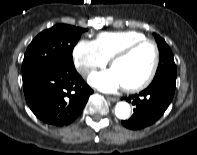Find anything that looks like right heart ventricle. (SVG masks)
Listing matches in <instances>:
<instances>
[{"label":"right heart ventricle","mask_w":197,"mask_h":155,"mask_svg":"<svg viewBox=\"0 0 197 155\" xmlns=\"http://www.w3.org/2000/svg\"><path fill=\"white\" fill-rule=\"evenodd\" d=\"M143 39H146V36L134 30L105 31L96 36L95 42L102 53L110 59L124 46Z\"/></svg>","instance_id":"e07e8e85"}]
</instances>
